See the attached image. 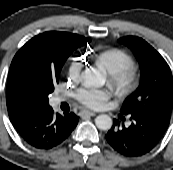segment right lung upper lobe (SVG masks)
Returning a JSON list of instances; mask_svg holds the SVG:
<instances>
[{
	"instance_id": "1",
	"label": "right lung upper lobe",
	"mask_w": 173,
	"mask_h": 170,
	"mask_svg": "<svg viewBox=\"0 0 173 170\" xmlns=\"http://www.w3.org/2000/svg\"><path fill=\"white\" fill-rule=\"evenodd\" d=\"M77 34L50 31L29 40L14 56L7 81L8 113L16 108L42 105L41 92L58 82L60 71L77 48L89 43Z\"/></svg>"
}]
</instances>
